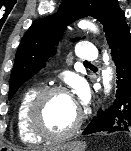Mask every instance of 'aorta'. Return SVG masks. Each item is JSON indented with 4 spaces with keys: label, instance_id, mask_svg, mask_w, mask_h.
<instances>
[{
    "label": "aorta",
    "instance_id": "obj_1",
    "mask_svg": "<svg viewBox=\"0 0 131 151\" xmlns=\"http://www.w3.org/2000/svg\"><path fill=\"white\" fill-rule=\"evenodd\" d=\"M78 26L82 29H89L93 32H97V27L89 21H81V22H79ZM103 60L105 62V65L108 66L109 65V56L106 51L104 52ZM102 78H103L104 92H105V94H108L111 90L110 82L112 80V71H111L110 67H106L102 71Z\"/></svg>",
    "mask_w": 131,
    "mask_h": 151
}]
</instances>
